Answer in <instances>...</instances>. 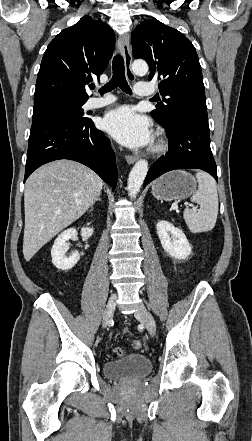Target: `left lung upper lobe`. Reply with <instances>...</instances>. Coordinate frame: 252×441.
<instances>
[{"instance_id": "5c2ea615", "label": "left lung upper lobe", "mask_w": 252, "mask_h": 441, "mask_svg": "<svg viewBox=\"0 0 252 441\" xmlns=\"http://www.w3.org/2000/svg\"><path fill=\"white\" fill-rule=\"evenodd\" d=\"M133 56L150 67V80H157L163 102L152 117L170 126L182 114L207 116L201 66L193 44L178 30L155 18L141 22L131 35Z\"/></svg>"}]
</instances>
